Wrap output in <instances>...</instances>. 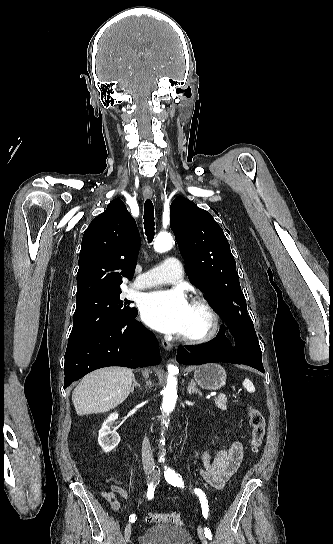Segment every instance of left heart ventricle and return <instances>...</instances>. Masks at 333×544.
<instances>
[{
	"label": "left heart ventricle",
	"mask_w": 333,
	"mask_h": 544,
	"mask_svg": "<svg viewBox=\"0 0 333 544\" xmlns=\"http://www.w3.org/2000/svg\"><path fill=\"white\" fill-rule=\"evenodd\" d=\"M208 319L205 312L197 306L190 305V312L182 334L196 335L205 331Z\"/></svg>",
	"instance_id": "obj_1"
}]
</instances>
